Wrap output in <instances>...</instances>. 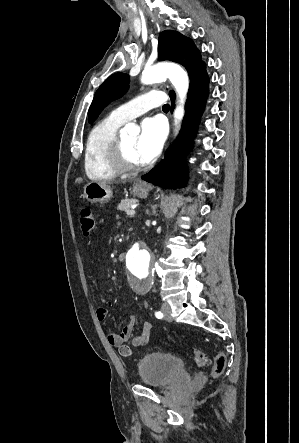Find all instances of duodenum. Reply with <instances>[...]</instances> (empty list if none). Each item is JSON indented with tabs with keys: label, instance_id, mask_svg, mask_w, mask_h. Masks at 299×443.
Instances as JSON below:
<instances>
[{
	"label": "duodenum",
	"instance_id": "duodenum-1",
	"mask_svg": "<svg viewBox=\"0 0 299 443\" xmlns=\"http://www.w3.org/2000/svg\"><path fill=\"white\" fill-rule=\"evenodd\" d=\"M125 256H126V253L123 252V253H121V254L118 256V259H119V260H122V259L125 258Z\"/></svg>",
	"mask_w": 299,
	"mask_h": 443
}]
</instances>
